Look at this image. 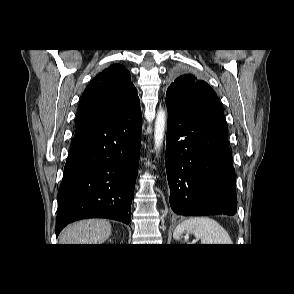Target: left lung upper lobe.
<instances>
[{
	"label": "left lung upper lobe",
	"instance_id": "5c2ea615",
	"mask_svg": "<svg viewBox=\"0 0 294 294\" xmlns=\"http://www.w3.org/2000/svg\"><path fill=\"white\" fill-rule=\"evenodd\" d=\"M166 103L189 116H224L214 90L193 74H183L174 80L167 90Z\"/></svg>",
	"mask_w": 294,
	"mask_h": 294
}]
</instances>
